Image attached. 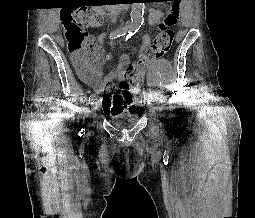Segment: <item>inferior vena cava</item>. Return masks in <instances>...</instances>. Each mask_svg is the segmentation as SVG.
I'll return each mask as SVG.
<instances>
[{
    "label": "inferior vena cava",
    "instance_id": "1",
    "mask_svg": "<svg viewBox=\"0 0 255 218\" xmlns=\"http://www.w3.org/2000/svg\"><path fill=\"white\" fill-rule=\"evenodd\" d=\"M111 22H112V23H115V22H116V16H115V15L111 16Z\"/></svg>",
    "mask_w": 255,
    "mask_h": 218
}]
</instances>
